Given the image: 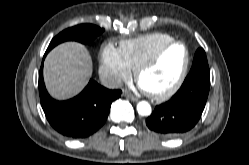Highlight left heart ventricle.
Returning <instances> with one entry per match:
<instances>
[{
    "instance_id": "1",
    "label": "left heart ventricle",
    "mask_w": 249,
    "mask_h": 165,
    "mask_svg": "<svg viewBox=\"0 0 249 165\" xmlns=\"http://www.w3.org/2000/svg\"><path fill=\"white\" fill-rule=\"evenodd\" d=\"M184 60V47L174 45L163 54L157 63L140 75L138 82L147 91L162 92L174 84Z\"/></svg>"
}]
</instances>
